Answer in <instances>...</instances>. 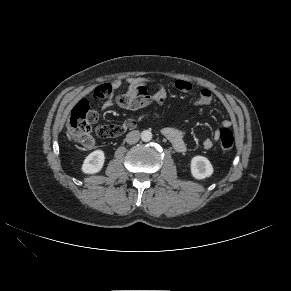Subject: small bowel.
Instances as JSON below:
<instances>
[{"mask_svg": "<svg viewBox=\"0 0 291 291\" xmlns=\"http://www.w3.org/2000/svg\"><path fill=\"white\" fill-rule=\"evenodd\" d=\"M147 82L148 80L145 78H129L127 80V91L119 95H116L115 92L122 85V81L120 79H116L111 83L100 85L97 88L104 89L106 97L102 104V109L107 110L112 106L117 105L118 107L126 110H138L147 107L152 103H163L166 96L165 88L163 86H159L154 93L149 94L142 86ZM174 86L181 92H189L192 90V84L189 81L183 79L176 80ZM212 101V92L207 88H203L201 89L198 98L194 102V106H208ZM222 125L223 127L228 128L231 126V121L225 119L223 120ZM162 134L171 142L172 146L177 152L182 153L187 150L184 133L180 128L176 126H166L162 128ZM219 135L220 132L216 131L214 133L213 139L217 140ZM213 139H205L202 143L203 148L210 149L213 146Z\"/></svg>", "mask_w": 291, "mask_h": 291, "instance_id": "obj_1", "label": "small bowel"}]
</instances>
